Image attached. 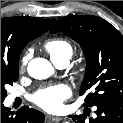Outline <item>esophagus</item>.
I'll use <instances>...</instances> for the list:
<instances>
[{
    "instance_id": "esophagus-1",
    "label": "esophagus",
    "mask_w": 123,
    "mask_h": 123,
    "mask_svg": "<svg viewBox=\"0 0 123 123\" xmlns=\"http://www.w3.org/2000/svg\"><path fill=\"white\" fill-rule=\"evenodd\" d=\"M46 119L49 121H52V122H59V121L63 120L62 117H56V116H51V115H48L46 117Z\"/></svg>"
}]
</instances>
